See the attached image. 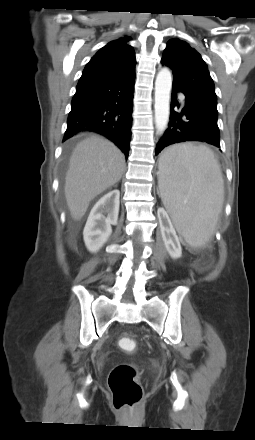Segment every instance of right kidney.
<instances>
[{
    "mask_svg": "<svg viewBox=\"0 0 255 440\" xmlns=\"http://www.w3.org/2000/svg\"><path fill=\"white\" fill-rule=\"evenodd\" d=\"M120 191L105 194L92 208L83 230L87 249L95 253L106 243L112 233L111 225H117Z\"/></svg>",
    "mask_w": 255,
    "mask_h": 440,
    "instance_id": "ca27d5eb",
    "label": "right kidney"
}]
</instances>
